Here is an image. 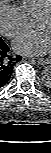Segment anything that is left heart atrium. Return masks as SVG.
<instances>
[{
  "mask_svg": "<svg viewBox=\"0 0 51 153\" xmlns=\"http://www.w3.org/2000/svg\"><path fill=\"white\" fill-rule=\"evenodd\" d=\"M13 47L15 50L28 55H43L50 50L51 36L45 29H38L18 37Z\"/></svg>",
  "mask_w": 51,
  "mask_h": 153,
  "instance_id": "left-heart-atrium-1",
  "label": "left heart atrium"
}]
</instances>
